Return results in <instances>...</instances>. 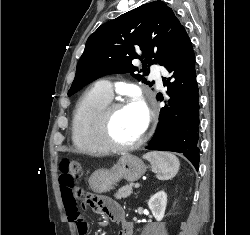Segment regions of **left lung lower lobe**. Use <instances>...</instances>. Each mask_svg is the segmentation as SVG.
<instances>
[{
	"label": "left lung lower lobe",
	"instance_id": "0a47b994",
	"mask_svg": "<svg viewBox=\"0 0 250 235\" xmlns=\"http://www.w3.org/2000/svg\"><path fill=\"white\" fill-rule=\"evenodd\" d=\"M163 66L170 73L162 78L170 99L161 109L158 128L147 148L182 153L198 170L199 93L195 54L184 28Z\"/></svg>",
	"mask_w": 250,
	"mask_h": 235
}]
</instances>
